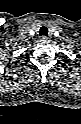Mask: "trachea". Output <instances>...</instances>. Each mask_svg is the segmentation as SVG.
Here are the masks:
<instances>
[{
  "label": "trachea",
  "mask_w": 81,
  "mask_h": 124,
  "mask_svg": "<svg viewBox=\"0 0 81 124\" xmlns=\"http://www.w3.org/2000/svg\"><path fill=\"white\" fill-rule=\"evenodd\" d=\"M40 36H47L48 35V29L45 26H42L39 31Z\"/></svg>",
  "instance_id": "obj_1"
}]
</instances>
